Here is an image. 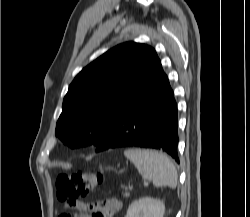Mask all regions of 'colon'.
Returning a JSON list of instances; mask_svg holds the SVG:
<instances>
[{
	"label": "colon",
	"instance_id": "colon-1",
	"mask_svg": "<svg viewBox=\"0 0 250 217\" xmlns=\"http://www.w3.org/2000/svg\"><path fill=\"white\" fill-rule=\"evenodd\" d=\"M102 183V175L99 172L79 170L60 174L56 179L58 198L66 202L70 208L80 206L84 213H90V217H103L102 204L100 202L85 203L82 198ZM60 217H73L66 213Z\"/></svg>",
	"mask_w": 250,
	"mask_h": 217
}]
</instances>
